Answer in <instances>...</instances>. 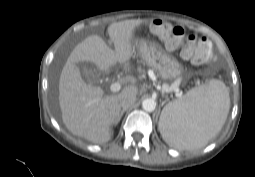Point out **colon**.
<instances>
[{"label":"colon","instance_id":"1","mask_svg":"<svg viewBox=\"0 0 255 177\" xmlns=\"http://www.w3.org/2000/svg\"><path fill=\"white\" fill-rule=\"evenodd\" d=\"M152 29L168 49L180 48V54L184 59L194 64H205L212 60V48L208 40H198L195 35L191 34L184 41L185 31L182 27L161 20L154 22Z\"/></svg>","mask_w":255,"mask_h":177}]
</instances>
